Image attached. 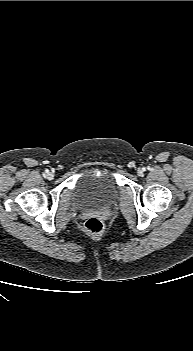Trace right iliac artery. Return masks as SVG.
<instances>
[{"label": "right iliac artery", "instance_id": "right-iliac-artery-1", "mask_svg": "<svg viewBox=\"0 0 193 351\" xmlns=\"http://www.w3.org/2000/svg\"><path fill=\"white\" fill-rule=\"evenodd\" d=\"M45 173H48V170H46ZM43 175L45 176L46 174H43Z\"/></svg>", "mask_w": 193, "mask_h": 351}]
</instances>
